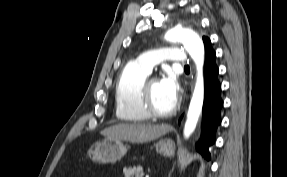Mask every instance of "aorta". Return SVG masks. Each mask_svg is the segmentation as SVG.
<instances>
[{"label": "aorta", "mask_w": 287, "mask_h": 177, "mask_svg": "<svg viewBox=\"0 0 287 177\" xmlns=\"http://www.w3.org/2000/svg\"><path fill=\"white\" fill-rule=\"evenodd\" d=\"M165 39L170 42H181L196 65L197 78L195 88L190 101L187 118L184 125L183 135L188 139L194 132L203 106L204 100V80H203V64H204V44L197 33L190 29L180 27L169 30Z\"/></svg>", "instance_id": "obj_1"}]
</instances>
